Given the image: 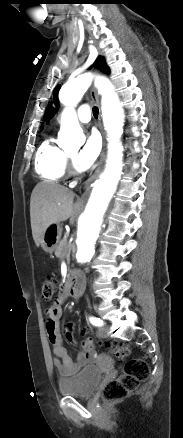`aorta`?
<instances>
[{
	"label": "aorta",
	"mask_w": 183,
	"mask_h": 438,
	"mask_svg": "<svg viewBox=\"0 0 183 438\" xmlns=\"http://www.w3.org/2000/svg\"><path fill=\"white\" fill-rule=\"evenodd\" d=\"M92 76L82 74L69 79L60 89L59 100L65 105L61 116L58 145L65 149L81 132L74 106L81 100L91 84ZM102 94V115L106 130L110 135L107 167L94 184L85 209L78 218L76 261L86 264L95 254V243L100 237L109 214L111 199L115 193L122 171V145L124 111L107 79L98 80Z\"/></svg>",
	"instance_id": "762f6f07"
}]
</instances>
